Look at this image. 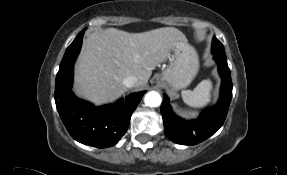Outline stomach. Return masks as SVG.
Returning a JSON list of instances; mask_svg holds the SVG:
<instances>
[{"label":"stomach","mask_w":287,"mask_h":175,"mask_svg":"<svg viewBox=\"0 0 287 175\" xmlns=\"http://www.w3.org/2000/svg\"><path fill=\"white\" fill-rule=\"evenodd\" d=\"M170 65L164 69L159 80L172 91L186 88L199 70L196 50L187 41L177 43L172 49Z\"/></svg>","instance_id":"obj_1"}]
</instances>
